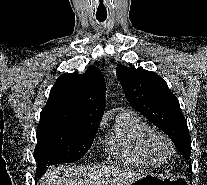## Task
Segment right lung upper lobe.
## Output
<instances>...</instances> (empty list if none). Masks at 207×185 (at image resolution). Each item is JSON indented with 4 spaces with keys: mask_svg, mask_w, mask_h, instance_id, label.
<instances>
[{
    "mask_svg": "<svg viewBox=\"0 0 207 185\" xmlns=\"http://www.w3.org/2000/svg\"><path fill=\"white\" fill-rule=\"evenodd\" d=\"M105 90L104 76L94 66L81 75L64 73L52 87L40 119L99 127L105 110Z\"/></svg>",
    "mask_w": 207,
    "mask_h": 185,
    "instance_id": "obj_1",
    "label": "right lung upper lobe"
}]
</instances>
